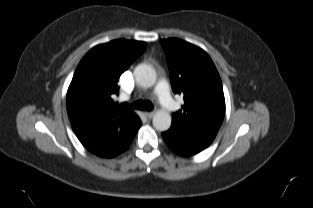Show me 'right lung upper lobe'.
<instances>
[{
	"instance_id": "obj_1",
	"label": "right lung upper lobe",
	"mask_w": 313,
	"mask_h": 208,
	"mask_svg": "<svg viewBox=\"0 0 313 208\" xmlns=\"http://www.w3.org/2000/svg\"><path fill=\"white\" fill-rule=\"evenodd\" d=\"M146 49L141 41L119 39L92 48L80 61L67 91L72 127L98 126L109 121L129 126L136 114L126 104L115 103L117 82Z\"/></svg>"
}]
</instances>
